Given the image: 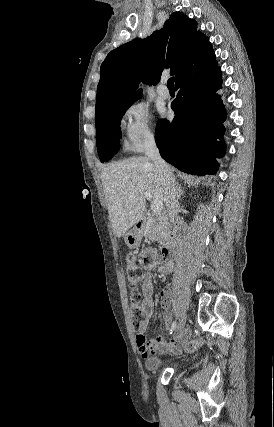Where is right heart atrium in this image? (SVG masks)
Wrapping results in <instances>:
<instances>
[{"mask_svg": "<svg viewBox=\"0 0 274 427\" xmlns=\"http://www.w3.org/2000/svg\"><path fill=\"white\" fill-rule=\"evenodd\" d=\"M123 133L126 146L141 152L156 139L151 112L143 104L129 107L123 114Z\"/></svg>", "mask_w": 274, "mask_h": 427, "instance_id": "1", "label": "right heart atrium"}]
</instances>
